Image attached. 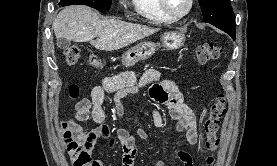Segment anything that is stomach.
<instances>
[{
	"mask_svg": "<svg viewBox=\"0 0 277 166\" xmlns=\"http://www.w3.org/2000/svg\"><path fill=\"white\" fill-rule=\"evenodd\" d=\"M184 42V34L177 31L166 32L161 38V46L170 50L180 48ZM157 46H160V44L150 41L141 42L126 51L121 57H116L115 59L121 60L125 66H134L138 62L150 58L156 52Z\"/></svg>",
	"mask_w": 277,
	"mask_h": 166,
	"instance_id": "obj_1",
	"label": "stomach"
}]
</instances>
